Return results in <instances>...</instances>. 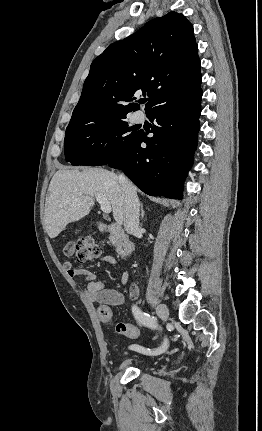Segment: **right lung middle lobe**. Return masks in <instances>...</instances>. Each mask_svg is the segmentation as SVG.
Instances as JSON below:
<instances>
[{"label": "right lung middle lobe", "instance_id": "obj_1", "mask_svg": "<svg viewBox=\"0 0 262 431\" xmlns=\"http://www.w3.org/2000/svg\"><path fill=\"white\" fill-rule=\"evenodd\" d=\"M125 118L69 124L64 140L66 161L72 165L89 166L112 162L138 134V131H132Z\"/></svg>", "mask_w": 262, "mask_h": 431}]
</instances>
